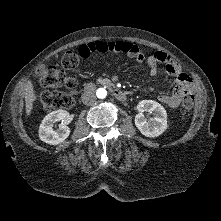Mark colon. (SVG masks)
Wrapping results in <instances>:
<instances>
[{
  "label": "colon",
  "instance_id": "1",
  "mask_svg": "<svg viewBox=\"0 0 221 221\" xmlns=\"http://www.w3.org/2000/svg\"><path fill=\"white\" fill-rule=\"evenodd\" d=\"M81 56L79 53L68 51L62 59L64 69H74L78 66ZM41 84L45 88H65L66 91H44L39 96L42 107L46 110L71 108L77 99V82L73 77L55 66H48L42 70ZM193 106V98H185L182 103L184 112H189Z\"/></svg>",
  "mask_w": 221,
  "mask_h": 221
}]
</instances>
